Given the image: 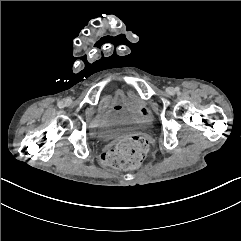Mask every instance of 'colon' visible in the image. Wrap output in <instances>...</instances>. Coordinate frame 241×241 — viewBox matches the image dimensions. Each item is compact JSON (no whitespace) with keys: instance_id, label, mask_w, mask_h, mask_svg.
<instances>
[{"instance_id":"obj_1","label":"colon","mask_w":241,"mask_h":241,"mask_svg":"<svg viewBox=\"0 0 241 241\" xmlns=\"http://www.w3.org/2000/svg\"><path fill=\"white\" fill-rule=\"evenodd\" d=\"M150 152L148 141L136 135L119 140L113 148L105 149L99 161L112 168H134L139 166Z\"/></svg>"}]
</instances>
